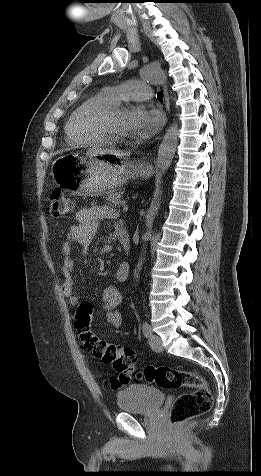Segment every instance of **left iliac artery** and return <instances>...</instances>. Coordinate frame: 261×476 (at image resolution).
Wrapping results in <instances>:
<instances>
[{
	"mask_svg": "<svg viewBox=\"0 0 261 476\" xmlns=\"http://www.w3.org/2000/svg\"><path fill=\"white\" fill-rule=\"evenodd\" d=\"M142 331H143V334H144L145 337H149L152 333L151 332V327L146 321L143 322Z\"/></svg>",
	"mask_w": 261,
	"mask_h": 476,
	"instance_id": "left-iliac-artery-1",
	"label": "left iliac artery"
}]
</instances>
